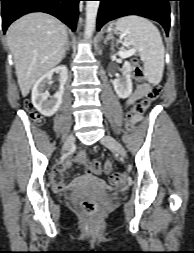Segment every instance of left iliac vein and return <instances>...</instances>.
I'll return each mask as SVG.
<instances>
[{"instance_id": "left-iliac-vein-1", "label": "left iliac vein", "mask_w": 194, "mask_h": 253, "mask_svg": "<svg viewBox=\"0 0 194 253\" xmlns=\"http://www.w3.org/2000/svg\"><path fill=\"white\" fill-rule=\"evenodd\" d=\"M101 144L118 153L121 157L126 158L127 154L124 147L112 136L106 135L101 139Z\"/></svg>"}]
</instances>
